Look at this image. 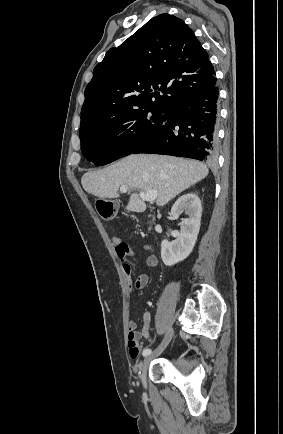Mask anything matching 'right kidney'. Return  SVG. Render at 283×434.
Returning a JSON list of instances; mask_svg holds the SVG:
<instances>
[{
	"label": "right kidney",
	"mask_w": 283,
	"mask_h": 434,
	"mask_svg": "<svg viewBox=\"0 0 283 434\" xmlns=\"http://www.w3.org/2000/svg\"><path fill=\"white\" fill-rule=\"evenodd\" d=\"M185 212L188 218L179 223L181 229L176 240L161 243V258L166 266H173L186 259L192 252L200 229L202 206L199 197L194 193L181 196L172 206L171 215L178 219Z\"/></svg>",
	"instance_id": "obj_1"
}]
</instances>
